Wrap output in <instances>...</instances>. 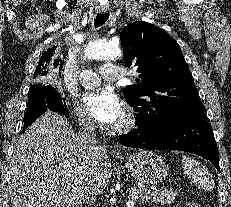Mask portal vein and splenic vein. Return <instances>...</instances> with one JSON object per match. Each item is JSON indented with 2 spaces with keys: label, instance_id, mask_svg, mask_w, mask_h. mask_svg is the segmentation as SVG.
I'll return each mask as SVG.
<instances>
[{
  "label": "portal vein and splenic vein",
  "instance_id": "1",
  "mask_svg": "<svg viewBox=\"0 0 231 207\" xmlns=\"http://www.w3.org/2000/svg\"><path fill=\"white\" fill-rule=\"evenodd\" d=\"M147 199H148V197H144V198L142 199V201H145V200H147ZM126 205H127V207H133V206H134L133 200H132V199L129 200V201L126 203Z\"/></svg>",
  "mask_w": 231,
  "mask_h": 207
}]
</instances>
